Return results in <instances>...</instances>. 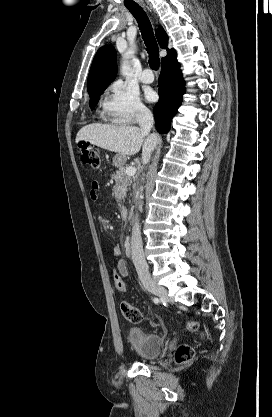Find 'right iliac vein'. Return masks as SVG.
<instances>
[{
    "label": "right iliac vein",
    "mask_w": 272,
    "mask_h": 417,
    "mask_svg": "<svg viewBox=\"0 0 272 417\" xmlns=\"http://www.w3.org/2000/svg\"><path fill=\"white\" fill-rule=\"evenodd\" d=\"M142 284L149 292L157 295L159 298L166 300L168 298L167 291L164 287L158 285L150 277H142Z\"/></svg>",
    "instance_id": "right-iliac-vein-1"
}]
</instances>
